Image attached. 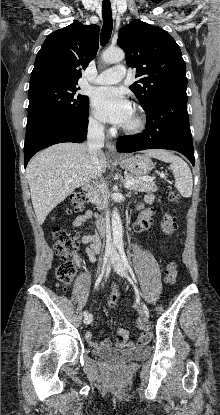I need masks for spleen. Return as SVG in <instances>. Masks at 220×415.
Instances as JSON below:
<instances>
[{"mask_svg":"<svg viewBox=\"0 0 220 415\" xmlns=\"http://www.w3.org/2000/svg\"><path fill=\"white\" fill-rule=\"evenodd\" d=\"M145 154L166 163H170L175 178V186L180 194L188 198L192 195L193 179L187 163L177 155L161 149L148 150Z\"/></svg>","mask_w":220,"mask_h":415,"instance_id":"1","label":"spleen"}]
</instances>
